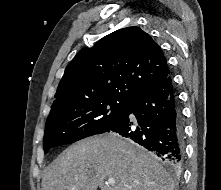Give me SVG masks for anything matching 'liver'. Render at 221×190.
<instances>
[{
	"instance_id": "liver-1",
	"label": "liver",
	"mask_w": 221,
	"mask_h": 190,
	"mask_svg": "<svg viewBox=\"0 0 221 190\" xmlns=\"http://www.w3.org/2000/svg\"><path fill=\"white\" fill-rule=\"evenodd\" d=\"M113 178L114 184L105 180ZM42 190H174L173 179L156 159L114 133L69 146L48 167Z\"/></svg>"
}]
</instances>
